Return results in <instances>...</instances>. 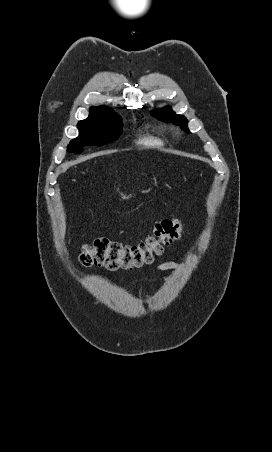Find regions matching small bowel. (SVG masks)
I'll list each match as a JSON object with an SVG mask.
<instances>
[{"label": "small bowel", "mask_w": 272, "mask_h": 452, "mask_svg": "<svg viewBox=\"0 0 272 452\" xmlns=\"http://www.w3.org/2000/svg\"><path fill=\"white\" fill-rule=\"evenodd\" d=\"M179 266H180V264L178 262H176V261H167V262L160 263L157 266V270L158 271L172 270V269L179 268ZM164 279L166 281H169V278H167V277H164Z\"/></svg>", "instance_id": "1"}]
</instances>
